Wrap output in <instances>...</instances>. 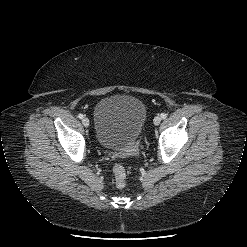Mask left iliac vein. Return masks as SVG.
Instances as JSON below:
<instances>
[{"label": "left iliac vein", "instance_id": "obj_1", "mask_svg": "<svg viewBox=\"0 0 247 247\" xmlns=\"http://www.w3.org/2000/svg\"><path fill=\"white\" fill-rule=\"evenodd\" d=\"M155 125H159L161 123V117L160 116H156L153 120Z\"/></svg>", "mask_w": 247, "mask_h": 247}]
</instances>
